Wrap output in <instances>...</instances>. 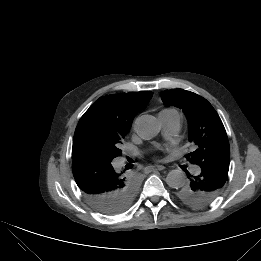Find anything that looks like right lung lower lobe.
I'll return each instance as SVG.
<instances>
[{
  "instance_id": "1",
  "label": "right lung lower lobe",
  "mask_w": 261,
  "mask_h": 261,
  "mask_svg": "<svg viewBox=\"0 0 261 261\" xmlns=\"http://www.w3.org/2000/svg\"><path fill=\"white\" fill-rule=\"evenodd\" d=\"M72 159L75 181L95 210L114 215L125 211L131 205L126 204L124 192L129 179L122 172L115 170L112 162L87 157Z\"/></svg>"
}]
</instances>
